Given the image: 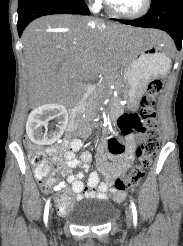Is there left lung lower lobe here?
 Returning a JSON list of instances; mask_svg holds the SVG:
<instances>
[{
  "label": "left lung lower lobe",
  "mask_w": 183,
  "mask_h": 246,
  "mask_svg": "<svg viewBox=\"0 0 183 246\" xmlns=\"http://www.w3.org/2000/svg\"><path fill=\"white\" fill-rule=\"evenodd\" d=\"M135 27L157 28L167 32L178 50L183 39V0H152L148 13L135 20L114 19Z\"/></svg>",
  "instance_id": "1"
}]
</instances>
